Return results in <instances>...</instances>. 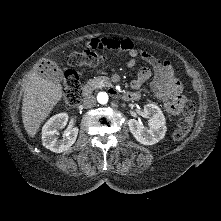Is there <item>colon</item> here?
Listing matches in <instances>:
<instances>
[{"instance_id":"obj_1","label":"colon","mask_w":221,"mask_h":221,"mask_svg":"<svg viewBox=\"0 0 221 221\" xmlns=\"http://www.w3.org/2000/svg\"><path fill=\"white\" fill-rule=\"evenodd\" d=\"M104 59V56L98 54L92 49L72 52L68 57V63L72 67L95 66ZM64 95L63 100L66 106H76L82 99L81 85L77 73L68 70L64 75ZM195 104L192 101H186L183 106V115L178 121L177 128L173 134L175 140H181L191 129L195 115Z\"/></svg>"}]
</instances>
